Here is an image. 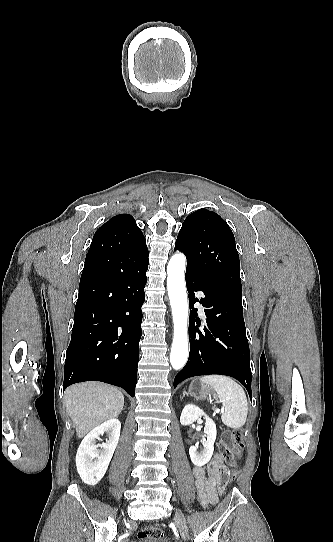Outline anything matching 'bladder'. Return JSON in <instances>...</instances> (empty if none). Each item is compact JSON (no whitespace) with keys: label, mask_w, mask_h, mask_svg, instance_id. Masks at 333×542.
<instances>
[{"label":"bladder","mask_w":333,"mask_h":542,"mask_svg":"<svg viewBox=\"0 0 333 542\" xmlns=\"http://www.w3.org/2000/svg\"><path fill=\"white\" fill-rule=\"evenodd\" d=\"M137 542H169L163 539H157V538H144L139 539Z\"/></svg>","instance_id":"31cf9c89"}]
</instances>
